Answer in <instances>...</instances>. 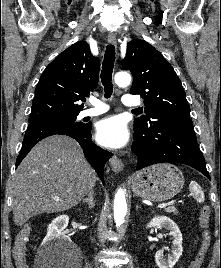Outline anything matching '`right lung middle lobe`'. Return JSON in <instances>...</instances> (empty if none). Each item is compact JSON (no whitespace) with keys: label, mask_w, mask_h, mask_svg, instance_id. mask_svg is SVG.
<instances>
[{"label":"right lung middle lobe","mask_w":221,"mask_h":268,"mask_svg":"<svg viewBox=\"0 0 221 268\" xmlns=\"http://www.w3.org/2000/svg\"><path fill=\"white\" fill-rule=\"evenodd\" d=\"M78 114H66V115H59L54 117H48L43 119H33L30 118L29 123L39 122V121H53V122H60L66 124H81V122H76Z\"/></svg>","instance_id":"obj_1"}]
</instances>
